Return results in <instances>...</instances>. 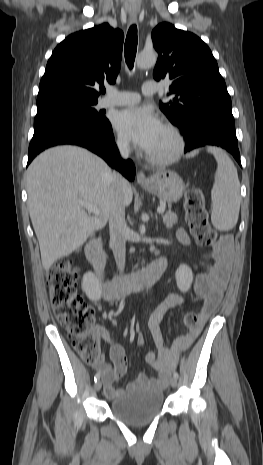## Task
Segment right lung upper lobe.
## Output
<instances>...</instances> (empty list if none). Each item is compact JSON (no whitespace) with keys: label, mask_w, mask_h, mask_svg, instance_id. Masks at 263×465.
<instances>
[{"label":"right lung upper lobe","mask_w":263,"mask_h":465,"mask_svg":"<svg viewBox=\"0 0 263 465\" xmlns=\"http://www.w3.org/2000/svg\"><path fill=\"white\" fill-rule=\"evenodd\" d=\"M123 40V32L108 23L69 35L47 63L37 101L57 96L97 99L105 92L104 81H116Z\"/></svg>","instance_id":"1"}]
</instances>
